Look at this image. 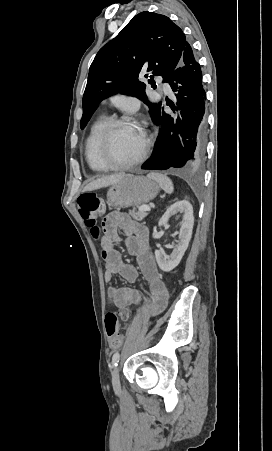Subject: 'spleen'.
Wrapping results in <instances>:
<instances>
[{
    "mask_svg": "<svg viewBox=\"0 0 272 451\" xmlns=\"http://www.w3.org/2000/svg\"><path fill=\"white\" fill-rule=\"evenodd\" d=\"M147 178H150V180H155V182H158L160 188L166 192V194H172L174 190V186L170 180V178H167V176H163V174H147Z\"/></svg>",
    "mask_w": 272,
    "mask_h": 451,
    "instance_id": "spleen-1",
    "label": "spleen"
}]
</instances>
